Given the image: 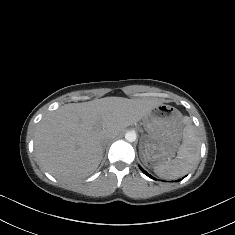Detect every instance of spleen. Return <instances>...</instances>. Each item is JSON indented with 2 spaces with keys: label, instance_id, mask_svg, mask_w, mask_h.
<instances>
[{
  "label": "spleen",
  "instance_id": "1",
  "mask_svg": "<svg viewBox=\"0 0 235 235\" xmlns=\"http://www.w3.org/2000/svg\"><path fill=\"white\" fill-rule=\"evenodd\" d=\"M183 139L176 158L154 167V173L161 179L173 180L187 174L199 161L200 140L197 136V128L189 123L190 118L185 117Z\"/></svg>",
  "mask_w": 235,
  "mask_h": 235
}]
</instances>
